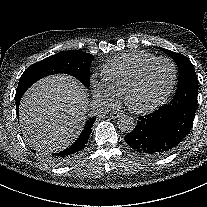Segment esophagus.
<instances>
[{
	"label": "esophagus",
	"instance_id": "obj_1",
	"mask_svg": "<svg viewBox=\"0 0 207 207\" xmlns=\"http://www.w3.org/2000/svg\"><path fill=\"white\" fill-rule=\"evenodd\" d=\"M121 115H122V113H121L120 111H112V112L110 113V117H111L112 119H117V118H119Z\"/></svg>",
	"mask_w": 207,
	"mask_h": 207
}]
</instances>
